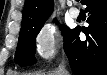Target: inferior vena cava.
<instances>
[{
  "label": "inferior vena cava",
  "mask_w": 107,
  "mask_h": 75,
  "mask_svg": "<svg viewBox=\"0 0 107 75\" xmlns=\"http://www.w3.org/2000/svg\"><path fill=\"white\" fill-rule=\"evenodd\" d=\"M57 73L59 75H69L63 62H62V64H60Z\"/></svg>",
  "instance_id": "obj_1"
}]
</instances>
